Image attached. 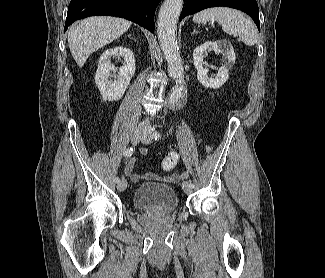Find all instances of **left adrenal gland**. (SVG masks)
<instances>
[{
	"label": "left adrenal gland",
	"mask_w": 325,
	"mask_h": 278,
	"mask_svg": "<svg viewBox=\"0 0 325 278\" xmlns=\"http://www.w3.org/2000/svg\"><path fill=\"white\" fill-rule=\"evenodd\" d=\"M199 33L196 29L193 30L192 34Z\"/></svg>",
	"instance_id": "1"
}]
</instances>
